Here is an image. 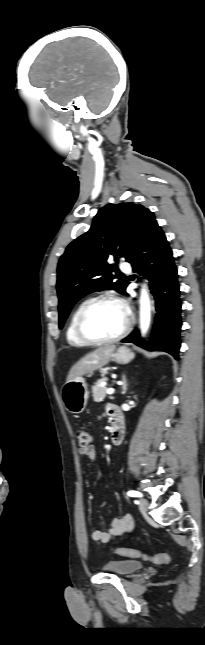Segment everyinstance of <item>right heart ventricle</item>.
Returning a JSON list of instances; mask_svg holds the SVG:
<instances>
[{"mask_svg": "<svg viewBox=\"0 0 205 645\" xmlns=\"http://www.w3.org/2000/svg\"><path fill=\"white\" fill-rule=\"evenodd\" d=\"M84 302L78 304L73 312L71 313V316L69 318L67 327H66V340L69 345L74 346V347H83L86 346L87 344L82 341L79 336L76 333V319L79 310L83 306Z\"/></svg>", "mask_w": 205, "mask_h": 645, "instance_id": "e07e8e85", "label": "right heart ventricle"}]
</instances>
